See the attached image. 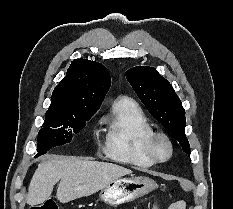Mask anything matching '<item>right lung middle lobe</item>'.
I'll use <instances>...</instances> for the list:
<instances>
[{"label":"right lung middle lobe","mask_w":233,"mask_h":209,"mask_svg":"<svg viewBox=\"0 0 233 209\" xmlns=\"http://www.w3.org/2000/svg\"><path fill=\"white\" fill-rule=\"evenodd\" d=\"M96 107L72 109L62 114L46 115L43 128L38 133V153L45 154L52 147L70 143L75 134L85 127L98 110Z\"/></svg>","instance_id":"obj_1"}]
</instances>
